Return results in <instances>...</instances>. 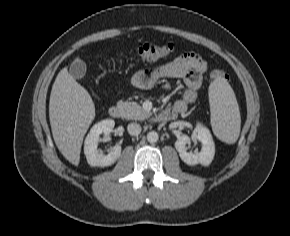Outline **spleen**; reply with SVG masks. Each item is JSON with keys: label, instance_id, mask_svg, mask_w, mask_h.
I'll return each instance as SVG.
<instances>
[{"label": "spleen", "instance_id": "spleen-1", "mask_svg": "<svg viewBox=\"0 0 290 236\" xmlns=\"http://www.w3.org/2000/svg\"><path fill=\"white\" fill-rule=\"evenodd\" d=\"M211 125L222 141L235 143L240 134V111L231 86L224 78H216L209 86Z\"/></svg>", "mask_w": 290, "mask_h": 236}]
</instances>
